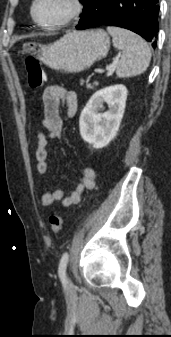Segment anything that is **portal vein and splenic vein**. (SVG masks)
Instances as JSON below:
<instances>
[{"label":"portal vein and splenic vein","mask_w":171,"mask_h":337,"mask_svg":"<svg viewBox=\"0 0 171 337\" xmlns=\"http://www.w3.org/2000/svg\"><path fill=\"white\" fill-rule=\"evenodd\" d=\"M118 63H119V59L115 58L113 63L111 65H109L108 68H107L108 69L107 76H111L114 73Z\"/></svg>","instance_id":"portal-vein-and-splenic-vein-1"}]
</instances>
